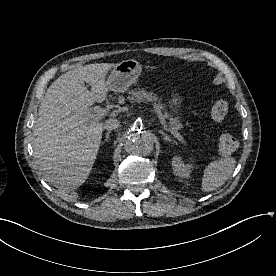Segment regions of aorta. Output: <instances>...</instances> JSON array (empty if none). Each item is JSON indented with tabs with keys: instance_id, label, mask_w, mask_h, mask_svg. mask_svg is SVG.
<instances>
[{
	"instance_id": "aorta-1",
	"label": "aorta",
	"mask_w": 276,
	"mask_h": 276,
	"mask_svg": "<svg viewBox=\"0 0 276 276\" xmlns=\"http://www.w3.org/2000/svg\"><path fill=\"white\" fill-rule=\"evenodd\" d=\"M154 141L149 133L132 128L127 133L125 149L137 156H147L153 150Z\"/></svg>"
}]
</instances>
